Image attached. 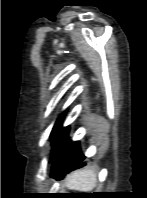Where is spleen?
Here are the masks:
<instances>
[{"label": "spleen", "mask_w": 147, "mask_h": 198, "mask_svg": "<svg viewBox=\"0 0 147 198\" xmlns=\"http://www.w3.org/2000/svg\"><path fill=\"white\" fill-rule=\"evenodd\" d=\"M96 185V173L93 169L78 170L71 173L65 182V186L71 190L88 192Z\"/></svg>", "instance_id": "spleen-1"}]
</instances>
